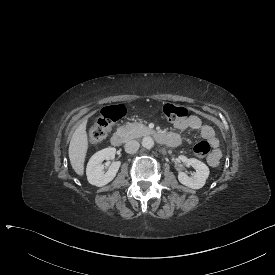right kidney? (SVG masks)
Returning <instances> with one entry per match:
<instances>
[{
    "label": "right kidney",
    "mask_w": 275,
    "mask_h": 275,
    "mask_svg": "<svg viewBox=\"0 0 275 275\" xmlns=\"http://www.w3.org/2000/svg\"><path fill=\"white\" fill-rule=\"evenodd\" d=\"M115 152V148H106L97 152L90 159L87 166V179L91 185L96 187H104L116 177V174L121 166V161L113 162L107 173L103 174V161L112 159L115 156Z\"/></svg>",
    "instance_id": "right-kidney-1"
}]
</instances>
